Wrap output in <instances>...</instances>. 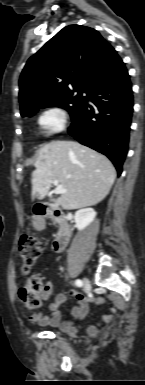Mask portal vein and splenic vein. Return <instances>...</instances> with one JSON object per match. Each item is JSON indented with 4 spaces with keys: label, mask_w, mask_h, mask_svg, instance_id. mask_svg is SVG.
Returning <instances> with one entry per match:
<instances>
[{
    "label": "portal vein and splenic vein",
    "mask_w": 145,
    "mask_h": 385,
    "mask_svg": "<svg viewBox=\"0 0 145 385\" xmlns=\"http://www.w3.org/2000/svg\"><path fill=\"white\" fill-rule=\"evenodd\" d=\"M52 183L56 186V187H55V190H54V193H55V194H62V193H65V192H66V190H65L64 187H63V185L60 184V183L58 182L57 179H54V180L52 181Z\"/></svg>",
    "instance_id": "1"
}]
</instances>
